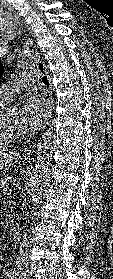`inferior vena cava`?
Instances as JSON below:
<instances>
[{"label": "inferior vena cava", "instance_id": "602c4592", "mask_svg": "<svg viewBox=\"0 0 113 279\" xmlns=\"http://www.w3.org/2000/svg\"><path fill=\"white\" fill-rule=\"evenodd\" d=\"M28 239L27 234H24L23 240L20 243L19 253L16 260V268L22 275H26L28 273Z\"/></svg>", "mask_w": 113, "mask_h": 279}]
</instances>
